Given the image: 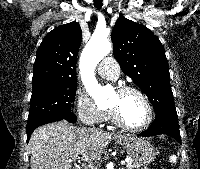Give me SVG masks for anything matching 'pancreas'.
Segmentation results:
<instances>
[{
	"label": "pancreas",
	"instance_id": "obj_1",
	"mask_svg": "<svg viewBox=\"0 0 200 169\" xmlns=\"http://www.w3.org/2000/svg\"><path fill=\"white\" fill-rule=\"evenodd\" d=\"M126 168L127 169H137L138 166L132 160H130L129 162H127ZM122 169H125V168H122Z\"/></svg>",
	"mask_w": 200,
	"mask_h": 169
}]
</instances>
